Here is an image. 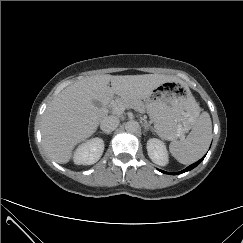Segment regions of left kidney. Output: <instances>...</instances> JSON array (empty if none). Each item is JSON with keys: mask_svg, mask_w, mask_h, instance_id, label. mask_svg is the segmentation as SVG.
Segmentation results:
<instances>
[{"mask_svg": "<svg viewBox=\"0 0 243 243\" xmlns=\"http://www.w3.org/2000/svg\"><path fill=\"white\" fill-rule=\"evenodd\" d=\"M147 151L150 159L157 165L165 166L168 164V154L164 143L152 138L147 142Z\"/></svg>", "mask_w": 243, "mask_h": 243, "instance_id": "1", "label": "left kidney"}]
</instances>
